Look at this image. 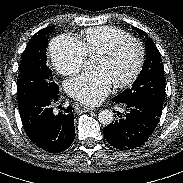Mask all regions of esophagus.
<instances>
[{
	"mask_svg": "<svg viewBox=\"0 0 183 183\" xmlns=\"http://www.w3.org/2000/svg\"><path fill=\"white\" fill-rule=\"evenodd\" d=\"M93 110H95V109L92 107L83 106L81 104H76V106H75V111L78 113L89 112V111H93Z\"/></svg>",
	"mask_w": 183,
	"mask_h": 183,
	"instance_id": "34e87169",
	"label": "esophagus"
}]
</instances>
